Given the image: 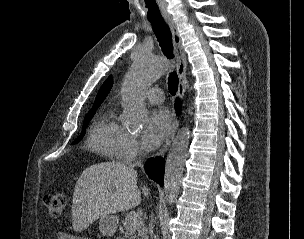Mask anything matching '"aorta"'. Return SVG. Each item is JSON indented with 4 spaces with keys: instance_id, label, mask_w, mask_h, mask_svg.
Instances as JSON below:
<instances>
[{
    "instance_id": "1",
    "label": "aorta",
    "mask_w": 304,
    "mask_h": 239,
    "mask_svg": "<svg viewBox=\"0 0 304 239\" xmlns=\"http://www.w3.org/2000/svg\"><path fill=\"white\" fill-rule=\"evenodd\" d=\"M167 70L165 60L149 55L137 57L123 85V119L130 125L142 124L147 116L142 92L159 79ZM189 129L182 128L176 135L165 162L164 192L169 204L178 197L185 161L188 154Z\"/></svg>"
}]
</instances>
